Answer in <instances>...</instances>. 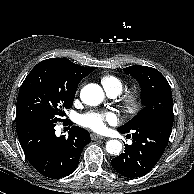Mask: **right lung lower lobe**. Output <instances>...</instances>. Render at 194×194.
Here are the masks:
<instances>
[{"mask_svg":"<svg viewBox=\"0 0 194 194\" xmlns=\"http://www.w3.org/2000/svg\"><path fill=\"white\" fill-rule=\"evenodd\" d=\"M56 123L43 119L16 122L21 147L29 163L43 176L57 179L77 167L83 148L91 141L89 132L71 127L69 136L57 138Z\"/></svg>","mask_w":194,"mask_h":194,"instance_id":"obj_1","label":"right lung lower lobe"}]
</instances>
